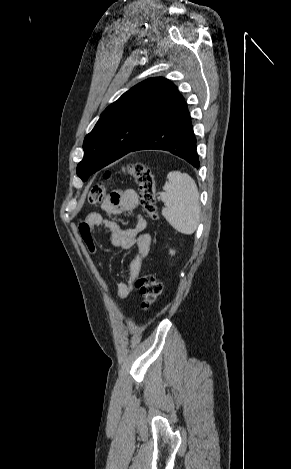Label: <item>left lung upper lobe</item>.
Wrapping results in <instances>:
<instances>
[{
	"label": "left lung upper lobe",
	"instance_id": "1",
	"mask_svg": "<svg viewBox=\"0 0 291 469\" xmlns=\"http://www.w3.org/2000/svg\"><path fill=\"white\" fill-rule=\"evenodd\" d=\"M183 100L176 86L166 78H149L132 87L103 111L85 137V154L77 166V175L86 181L91 174L119 159ZM99 143L104 148L94 151Z\"/></svg>",
	"mask_w": 291,
	"mask_h": 469
}]
</instances>
